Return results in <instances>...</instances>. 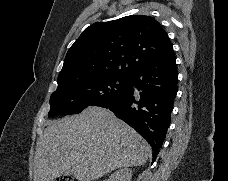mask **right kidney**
<instances>
[{
    "instance_id": "1",
    "label": "right kidney",
    "mask_w": 228,
    "mask_h": 181,
    "mask_svg": "<svg viewBox=\"0 0 228 181\" xmlns=\"http://www.w3.org/2000/svg\"><path fill=\"white\" fill-rule=\"evenodd\" d=\"M132 179V171L131 169H119V171H115L111 177H109L108 181H131Z\"/></svg>"
}]
</instances>
